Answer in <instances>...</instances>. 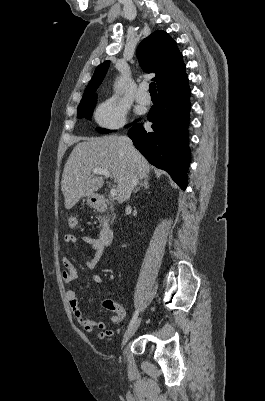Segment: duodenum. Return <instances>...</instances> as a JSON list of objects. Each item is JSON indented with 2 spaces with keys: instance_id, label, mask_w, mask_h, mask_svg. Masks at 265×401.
I'll return each mask as SVG.
<instances>
[{
  "instance_id": "duodenum-1",
  "label": "duodenum",
  "mask_w": 265,
  "mask_h": 401,
  "mask_svg": "<svg viewBox=\"0 0 265 401\" xmlns=\"http://www.w3.org/2000/svg\"><path fill=\"white\" fill-rule=\"evenodd\" d=\"M94 207L100 211L105 210L106 202L101 198H97L94 202ZM99 239L104 246H109L114 239L113 230L108 226H104L100 231Z\"/></svg>"
}]
</instances>
